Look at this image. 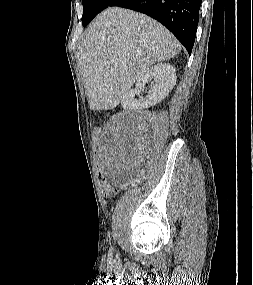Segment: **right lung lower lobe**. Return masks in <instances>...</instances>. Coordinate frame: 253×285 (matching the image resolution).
I'll list each match as a JSON object with an SVG mask.
<instances>
[{
  "instance_id": "1",
  "label": "right lung lower lobe",
  "mask_w": 253,
  "mask_h": 285,
  "mask_svg": "<svg viewBox=\"0 0 253 285\" xmlns=\"http://www.w3.org/2000/svg\"><path fill=\"white\" fill-rule=\"evenodd\" d=\"M201 2L202 0H115L110 6L142 12L161 22L184 45L190 55Z\"/></svg>"
}]
</instances>
